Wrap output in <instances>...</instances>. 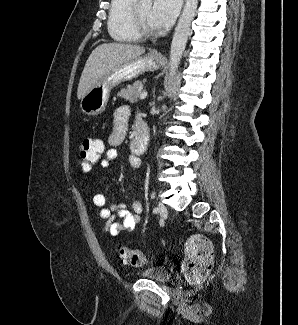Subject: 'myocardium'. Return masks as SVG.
<instances>
[{
  "label": "myocardium",
  "mask_w": 298,
  "mask_h": 325,
  "mask_svg": "<svg viewBox=\"0 0 298 325\" xmlns=\"http://www.w3.org/2000/svg\"><path fill=\"white\" fill-rule=\"evenodd\" d=\"M142 0H131L129 5V18L127 21L128 30L141 40L153 39L160 36L161 32H153L148 30L142 23L139 15V7Z\"/></svg>",
  "instance_id": "1"
}]
</instances>
